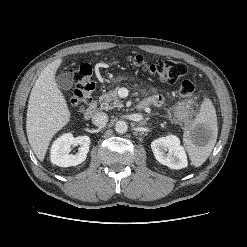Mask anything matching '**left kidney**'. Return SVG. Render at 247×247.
I'll list each match as a JSON object with an SVG mask.
<instances>
[{
    "label": "left kidney",
    "mask_w": 247,
    "mask_h": 247,
    "mask_svg": "<svg viewBox=\"0 0 247 247\" xmlns=\"http://www.w3.org/2000/svg\"><path fill=\"white\" fill-rule=\"evenodd\" d=\"M151 149L155 158L163 165L171 169L187 167V156L180 140L175 135H168L154 140Z\"/></svg>",
    "instance_id": "obj_1"
}]
</instances>
